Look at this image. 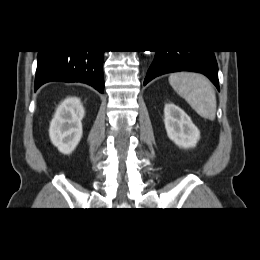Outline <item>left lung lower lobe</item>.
I'll return each mask as SVG.
<instances>
[{"label": "left lung lower lobe", "mask_w": 260, "mask_h": 260, "mask_svg": "<svg viewBox=\"0 0 260 260\" xmlns=\"http://www.w3.org/2000/svg\"><path fill=\"white\" fill-rule=\"evenodd\" d=\"M193 71L207 76L219 90L218 67L213 51H156L144 85L162 74Z\"/></svg>", "instance_id": "left-lung-lower-lobe-1"}]
</instances>
